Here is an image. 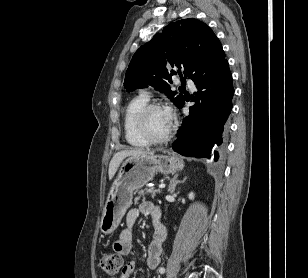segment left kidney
Segmentation results:
<instances>
[{
	"label": "left kidney",
	"instance_id": "obj_1",
	"mask_svg": "<svg viewBox=\"0 0 308 278\" xmlns=\"http://www.w3.org/2000/svg\"><path fill=\"white\" fill-rule=\"evenodd\" d=\"M188 197L190 200L194 199V193L193 192L189 193Z\"/></svg>",
	"mask_w": 308,
	"mask_h": 278
}]
</instances>
